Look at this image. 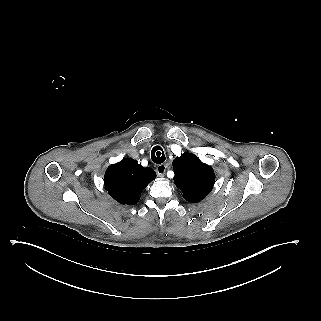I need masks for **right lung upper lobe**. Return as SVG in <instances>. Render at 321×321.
<instances>
[{
	"mask_svg": "<svg viewBox=\"0 0 321 321\" xmlns=\"http://www.w3.org/2000/svg\"><path fill=\"white\" fill-rule=\"evenodd\" d=\"M155 177L153 169L144 168L136 160L126 158L108 167L104 176L105 189L119 203L134 205Z\"/></svg>",
	"mask_w": 321,
	"mask_h": 321,
	"instance_id": "1",
	"label": "right lung upper lobe"
}]
</instances>
